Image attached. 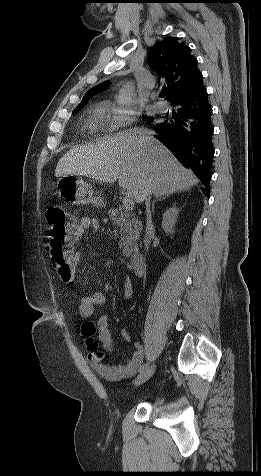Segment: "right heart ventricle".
<instances>
[{
	"label": "right heart ventricle",
	"instance_id": "right-heart-ventricle-1",
	"mask_svg": "<svg viewBox=\"0 0 261 476\" xmlns=\"http://www.w3.org/2000/svg\"><path fill=\"white\" fill-rule=\"evenodd\" d=\"M102 113H103V111H102V110H99V114H102ZM97 122H98V121H97ZM98 127H99L98 123H95V124L93 125V128H92V129H97Z\"/></svg>",
	"mask_w": 261,
	"mask_h": 476
}]
</instances>
